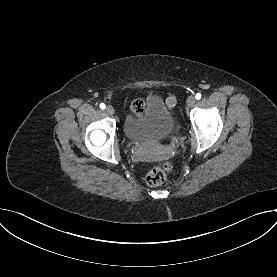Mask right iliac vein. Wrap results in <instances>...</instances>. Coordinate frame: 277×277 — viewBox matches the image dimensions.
Wrapping results in <instances>:
<instances>
[{
    "mask_svg": "<svg viewBox=\"0 0 277 277\" xmlns=\"http://www.w3.org/2000/svg\"><path fill=\"white\" fill-rule=\"evenodd\" d=\"M106 112H107L108 114H110V115H113V114L115 113V110H114L113 106L108 105V106L106 107Z\"/></svg>",
    "mask_w": 277,
    "mask_h": 277,
    "instance_id": "1",
    "label": "right iliac vein"
}]
</instances>
